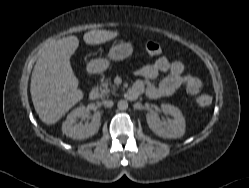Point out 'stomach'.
Segmentation results:
<instances>
[{
	"label": "stomach",
	"instance_id": "stomach-1",
	"mask_svg": "<svg viewBox=\"0 0 249 188\" xmlns=\"http://www.w3.org/2000/svg\"><path fill=\"white\" fill-rule=\"evenodd\" d=\"M133 52V46L129 42H120L111 47L107 58L91 60L87 66L92 73H101L108 69L111 61H121L128 58Z\"/></svg>",
	"mask_w": 249,
	"mask_h": 188
}]
</instances>
